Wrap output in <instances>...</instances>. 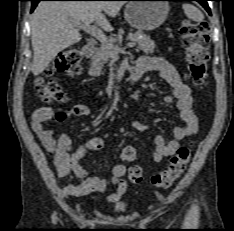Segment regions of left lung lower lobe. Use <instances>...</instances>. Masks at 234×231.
<instances>
[{
    "label": "left lung lower lobe",
    "instance_id": "0a47b994",
    "mask_svg": "<svg viewBox=\"0 0 234 231\" xmlns=\"http://www.w3.org/2000/svg\"><path fill=\"white\" fill-rule=\"evenodd\" d=\"M169 1H197L207 10L209 14H211L210 8L207 3V1L209 0H169Z\"/></svg>",
    "mask_w": 234,
    "mask_h": 231
}]
</instances>
